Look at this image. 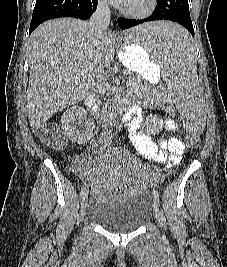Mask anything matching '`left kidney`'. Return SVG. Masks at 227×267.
<instances>
[{
  "label": "left kidney",
  "mask_w": 227,
  "mask_h": 267,
  "mask_svg": "<svg viewBox=\"0 0 227 267\" xmlns=\"http://www.w3.org/2000/svg\"><path fill=\"white\" fill-rule=\"evenodd\" d=\"M163 120L156 115H149L147 118V126L151 133H158L163 127Z\"/></svg>",
  "instance_id": "5707ae66"
}]
</instances>
